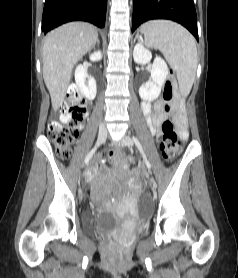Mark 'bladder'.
I'll return each mask as SVG.
<instances>
[{"instance_id":"31cf9c89","label":"bladder","mask_w":238,"mask_h":278,"mask_svg":"<svg viewBox=\"0 0 238 278\" xmlns=\"http://www.w3.org/2000/svg\"><path fill=\"white\" fill-rule=\"evenodd\" d=\"M84 228L90 235L107 236L116 229V222L105 213H88Z\"/></svg>"}]
</instances>
